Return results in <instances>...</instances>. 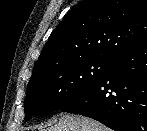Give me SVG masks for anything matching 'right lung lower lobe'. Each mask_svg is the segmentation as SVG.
<instances>
[{
	"label": "right lung lower lobe",
	"instance_id": "obj_1",
	"mask_svg": "<svg viewBox=\"0 0 147 131\" xmlns=\"http://www.w3.org/2000/svg\"><path fill=\"white\" fill-rule=\"evenodd\" d=\"M61 111L115 131H147V40L117 57L92 89Z\"/></svg>",
	"mask_w": 147,
	"mask_h": 131
}]
</instances>
